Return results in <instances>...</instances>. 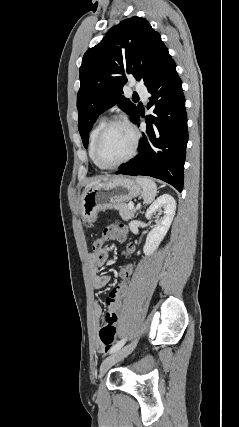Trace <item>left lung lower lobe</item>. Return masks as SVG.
Returning a JSON list of instances; mask_svg holds the SVG:
<instances>
[{
    "instance_id": "obj_1",
    "label": "left lung lower lobe",
    "mask_w": 239,
    "mask_h": 427,
    "mask_svg": "<svg viewBox=\"0 0 239 427\" xmlns=\"http://www.w3.org/2000/svg\"><path fill=\"white\" fill-rule=\"evenodd\" d=\"M151 94L145 118L147 135L139 143V154L123 164L116 174L145 175L161 179L179 192L183 188V167L188 141L187 115L182 82L174 61L148 85ZM139 113L133 122L138 123Z\"/></svg>"
}]
</instances>
